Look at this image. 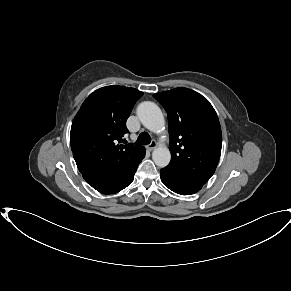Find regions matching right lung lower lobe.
I'll use <instances>...</instances> for the list:
<instances>
[{
	"label": "right lung lower lobe",
	"instance_id": "right-lung-lower-lobe-1",
	"mask_svg": "<svg viewBox=\"0 0 291 291\" xmlns=\"http://www.w3.org/2000/svg\"><path fill=\"white\" fill-rule=\"evenodd\" d=\"M145 157V149L133 161L119 170L106 172H85L83 178L94 189L103 194H113L127 187L134 179L139 163Z\"/></svg>",
	"mask_w": 291,
	"mask_h": 291
}]
</instances>
